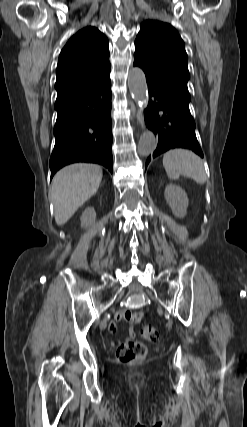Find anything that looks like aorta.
Returning <instances> with one entry per match:
<instances>
[{
  "label": "aorta",
  "mask_w": 247,
  "mask_h": 427,
  "mask_svg": "<svg viewBox=\"0 0 247 427\" xmlns=\"http://www.w3.org/2000/svg\"><path fill=\"white\" fill-rule=\"evenodd\" d=\"M128 86L130 93L136 103L140 106L148 105V87L144 72L139 68H134L129 72ZM157 146V139L153 132L145 131L139 140L138 153L142 156L152 154Z\"/></svg>",
  "instance_id": "aorta-1"
}]
</instances>
